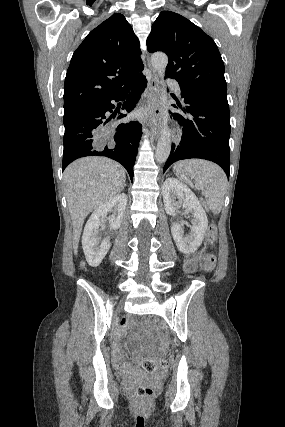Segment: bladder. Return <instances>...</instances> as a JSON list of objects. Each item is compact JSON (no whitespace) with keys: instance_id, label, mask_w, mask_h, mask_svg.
<instances>
[{"instance_id":"bladder-1","label":"bladder","mask_w":285,"mask_h":427,"mask_svg":"<svg viewBox=\"0 0 285 427\" xmlns=\"http://www.w3.org/2000/svg\"><path fill=\"white\" fill-rule=\"evenodd\" d=\"M145 376L148 378H154L155 377L154 374H146Z\"/></svg>"}]
</instances>
